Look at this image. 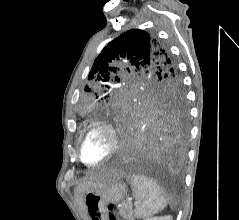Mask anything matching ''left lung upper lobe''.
<instances>
[{
  "label": "left lung upper lobe",
  "instance_id": "5c2ea615",
  "mask_svg": "<svg viewBox=\"0 0 239 220\" xmlns=\"http://www.w3.org/2000/svg\"><path fill=\"white\" fill-rule=\"evenodd\" d=\"M88 80L79 113L91 119L116 112L186 110L176 61L164 44L143 30L131 29L109 42Z\"/></svg>",
  "mask_w": 239,
  "mask_h": 220
}]
</instances>
